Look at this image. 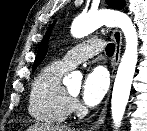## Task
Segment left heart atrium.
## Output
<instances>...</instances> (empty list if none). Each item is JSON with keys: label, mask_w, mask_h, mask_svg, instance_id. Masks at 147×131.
<instances>
[{"label": "left heart atrium", "mask_w": 147, "mask_h": 131, "mask_svg": "<svg viewBox=\"0 0 147 131\" xmlns=\"http://www.w3.org/2000/svg\"><path fill=\"white\" fill-rule=\"evenodd\" d=\"M109 85L108 75L101 67L89 70L84 78L81 96L88 106H95L100 103Z\"/></svg>", "instance_id": "obj_1"}]
</instances>
